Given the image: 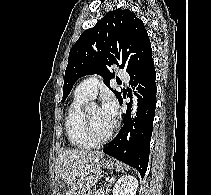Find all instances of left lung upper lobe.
<instances>
[{"label": "left lung upper lobe", "instance_id": "obj_1", "mask_svg": "<svg viewBox=\"0 0 211 195\" xmlns=\"http://www.w3.org/2000/svg\"><path fill=\"white\" fill-rule=\"evenodd\" d=\"M118 50H122V57ZM151 58V43L142 20L130 10L110 11L93 28L84 31L71 48L63 102L80 77L97 73L110 88V79L114 77L109 70L112 64L125 68L131 76ZM114 94L121 99V92Z\"/></svg>", "mask_w": 211, "mask_h": 195}]
</instances>
